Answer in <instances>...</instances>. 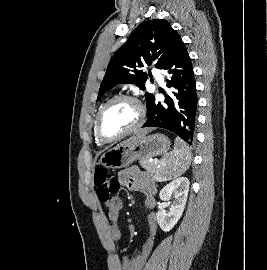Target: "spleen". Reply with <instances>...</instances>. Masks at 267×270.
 Wrapping results in <instances>:
<instances>
[{
  "mask_svg": "<svg viewBox=\"0 0 267 270\" xmlns=\"http://www.w3.org/2000/svg\"><path fill=\"white\" fill-rule=\"evenodd\" d=\"M191 156L187 145L180 138L175 139L174 150L161 160L159 179L166 181L182 175L190 165Z\"/></svg>",
  "mask_w": 267,
  "mask_h": 270,
  "instance_id": "1",
  "label": "spleen"
}]
</instances>
